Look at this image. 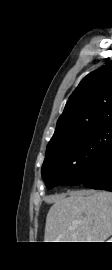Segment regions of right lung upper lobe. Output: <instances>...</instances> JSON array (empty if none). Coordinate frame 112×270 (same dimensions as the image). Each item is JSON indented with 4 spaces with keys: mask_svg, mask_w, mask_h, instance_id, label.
Masks as SVG:
<instances>
[{
    "mask_svg": "<svg viewBox=\"0 0 112 270\" xmlns=\"http://www.w3.org/2000/svg\"><path fill=\"white\" fill-rule=\"evenodd\" d=\"M110 122L112 61L88 74L74 90L57 121L47 149Z\"/></svg>",
    "mask_w": 112,
    "mask_h": 270,
    "instance_id": "obj_1",
    "label": "right lung upper lobe"
}]
</instances>
